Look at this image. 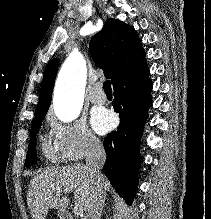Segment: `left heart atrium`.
I'll return each instance as SVG.
<instances>
[{"label": "left heart atrium", "instance_id": "left-heart-atrium-1", "mask_svg": "<svg viewBox=\"0 0 211 219\" xmlns=\"http://www.w3.org/2000/svg\"><path fill=\"white\" fill-rule=\"evenodd\" d=\"M114 122L113 115L105 109H97L92 113V127L99 134H103L110 130L113 127Z\"/></svg>", "mask_w": 211, "mask_h": 219}]
</instances>
